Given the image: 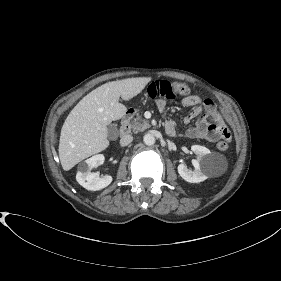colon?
Segmentation results:
<instances>
[{
  "label": "colon",
  "mask_w": 281,
  "mask_h": 281,
  "mask_svg": "<svg viewBox=\"0 0 281 281\" xmlns=\"http://www.w3.org/2000/svg\"><path fill=\"white\" fill-rule=\"evenodd\" d=\"M189 91L188 86L182 82H169L165 80H158L150 84L148 88V95L151 98H166L174 100L179 95H185ZM223 140L217 144L218 149L226 150L229 146L231 138L230 132L227 129L223 130Z\"/></svg>",
  "instance_id": "1"
}]
</instances>
